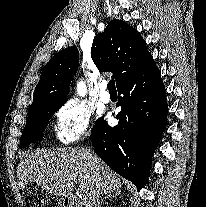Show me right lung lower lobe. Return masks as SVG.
<instances>
[{"label": "right lung lower lobe", "instance_id": "right-lung-lower-lobe-1", "mask_svg": "<svg viewBox=\"0 0 206 207\" xmlns=\"http://www.w3.org/2000/svg\"><path fill=\"white\" fill-rule=\"evenodd\" d=\"M119 123L100 118L91 131L95 152L114 171L141 189L148 180L151 158L165 130L168 105L160 71L152 55L118 86Z\"/></svg>", "mask_w": 206, "mask_h": 207}]
</instances>
